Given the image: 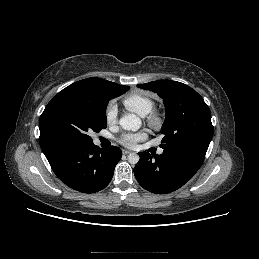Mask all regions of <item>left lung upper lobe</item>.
Instances as JSON below:
<instances>
[{
  "label": "left lung upper lobe",
  "instance_id": "5c2ea615",
  "mask_svg": "<svg viewBox=\"0 0 259 259\" xmlns=\"http://www.w3.org/2000/svg\"><path fill=\"white\" fill-rule=\"evenodd\" d=\"M156 92L166 109L160 147H192L207 151L213 137L211 112L203 98L191 87L171 80L137 85Z\"/></svg>",
  "mask_w": 259,
  "mask_h": 259
}]
</instances>
